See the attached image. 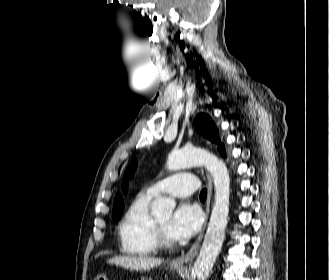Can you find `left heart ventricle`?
Instances as JSON below:
<instances>
[{
  "mask_svg": "<svg viewBox=\"0 0 329 280\" xmlns=\"http://www.w3.org/2000/svg\"><path fill=\"white\" fill-rule=\"evenodd\" d=\"M156 220L159 223V225L161 226V228L164 231V233L166 234V236L169 239H171L170 236L167 233V226H168V223H169V220H170V215L166 214V215L158 216V217H156Z\"/></svg>",
  "mask_w": 329,
  "mask_h": 280,
  "instance_id": "left-heart-ventricle-1",
  "label": "left heart ventricle"
}]
</instances>
